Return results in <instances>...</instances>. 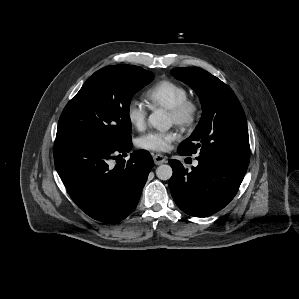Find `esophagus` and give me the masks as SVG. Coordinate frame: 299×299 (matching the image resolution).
Returning <instances> with one entry per match:
<instances>
[{
  "label": "esophagus",
  "mask_w": 299,
  "mask_h": 299,
  "mask_svg": "<svg viewBox=\"0 0 299 299\" xmlns=\"http://www.w3.org/2000/svg\"><path fill=\"white\" fill-rule=\"evenodd\" d=\"M153 160H154V163L156 165H160V164H163V163H166L167 159L165 156L161 155V154H156L153 156Z\"/></svg>",
  "instance_id": "esophagus-1"
}]
</instances>
